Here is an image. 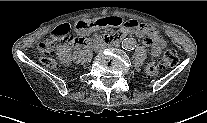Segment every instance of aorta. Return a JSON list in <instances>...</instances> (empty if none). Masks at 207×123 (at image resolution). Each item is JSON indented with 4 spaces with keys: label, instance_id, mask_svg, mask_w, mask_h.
Returning a JSON list of instances; mask_svg holds the SVG:
<instances>
[{
    "label": "aorta",
    "instance_id": "1",
    "mask_svg": "<svg viewBox=\"0 0 207 123\" xmlns=\"http://www.w3.org/2000/svg\"><path fill=\"white\" fill-rule=\"evenodd\" d=\"M122 47L126 50H133L136 47V40L134 38H125L122 41Z\"/></svg>",
    "mask_w": 207,
    "mask_h": 123
}]
</instances>
